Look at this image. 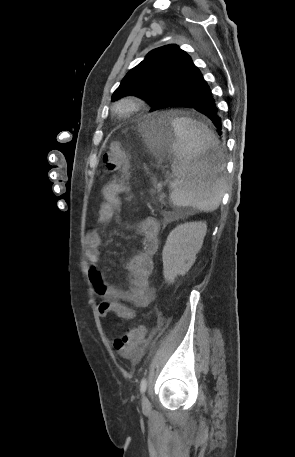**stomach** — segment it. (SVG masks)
<instances>
[{
  "instance_id": "1",
  "label": "stomach",
  "mask_w": 295,
  "mask_h": 457,
  "mask_svg": "<svg viewBox=\"0 0 295 457\" xmlns=\"http://www.w3.org/2000/svg\"><path fill=\"white\" fill-rule=\"evenodd\" d=\"M146 143L153 148L164 145L168 150L177 143L178 138L172 124V120L160 115H149L140 127Z\"/></svg>"
}]
</instances>
